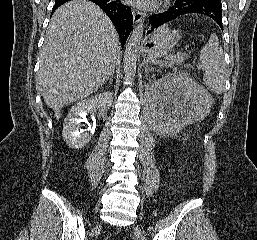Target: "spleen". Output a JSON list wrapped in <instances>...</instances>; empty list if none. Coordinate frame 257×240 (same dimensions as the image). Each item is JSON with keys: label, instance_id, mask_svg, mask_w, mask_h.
Instances as JSON below:
<instances>
[{"label": "spleen", "instance_id": "3e777b00", "mask_svg": "<svg viewBox=\"0 0 257 240\" xmlns=\"http://www.w3.org/2000/svg\"><path fill=\"white\" fill-rule=\"evenodd\" d=\"M161 29H168V26L164 25ZM200 60L205 70L203 81L207 88L215 94H222L225 90L227 69L223 50L219 47V39L214 33L201 49Z\"/></svg>", "mask_w": 257, "mask_h": 240}]
</instances>
